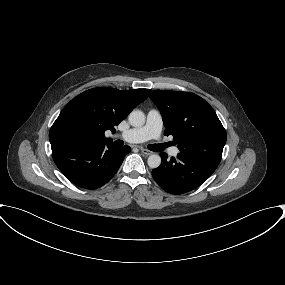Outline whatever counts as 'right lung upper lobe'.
Instances as JSON below:
<instances>
[{
	"instance_id": "right-lung-upper-lobe-1",
	"label": "right lung upper lobe",
	"mask_w": 285,
	"mask_h": 285,
	"mask_svg": "<svg viewBox=\"0 0 285 285\" xmlns=\"http://www.w3.org/2000/svg\"><path fill=\"white\" fill-rule=\"evenodd\" d=\"M150 89L127 91L100 87L73 98L61 111L49 132L50 143L74 140L90 145L111 143L104 133L115 126L143 102Z\"/></svg>"
}]
</instances>
